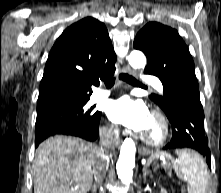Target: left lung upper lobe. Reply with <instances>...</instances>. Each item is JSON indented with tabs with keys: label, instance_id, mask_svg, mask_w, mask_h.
I'll return each mask as SVG.
<instances>
[{
	"label": "left lung upper lobe",
	"instance_id": "1",
	"mask_svg": "<svg viewBox=\"0 0 221 193\" xmlns=\"http://www.w3.org/2000/svg\"><path fill=\"white\" fill-rule=\"evenodd\" d=\"M134 48L147 57L145 71L152 72L165 85L190 83L198 85L192 56L178 32L158 22H149L136 35ZM165 112L170 114L167 95H151Z\"/></svg>",
	"mask_w": 221,
	"mask_h": 193
}]
</instances>
